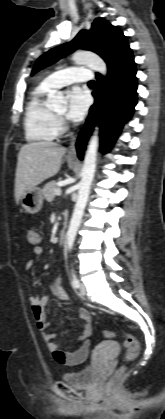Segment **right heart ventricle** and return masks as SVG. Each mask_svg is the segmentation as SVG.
Here are the masks:
<instances>
[{
    "label": "right heart ventricle",
    "mask_w": 165,
    "mask_h": 419,
    "mask_svg": "<svg viewBox=\"0 0 165 419\" xmlns=\"http://www.w3.org/2000/svg\"><path fill=\"white\" fill-rule=\"evenodd\" d=\"M51 90L40 83L30 94L24 118L25 134L29 141H53L59 135L56 115L46 101Z\"/></svg>",
    "instance_id": "e07e8e85"
}]
</instances>
